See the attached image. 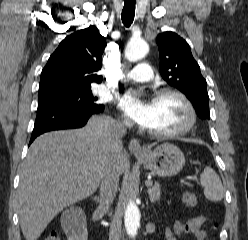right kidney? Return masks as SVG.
<instances>
[{"instance_id": "ca27d5eb", "label": "right kidney", "mask_w": 248, "mask_h": 240, "mask_svg": "<svg viewBox=\"0 0 248 240\" xmlns=\"http://www.w3.org/2000/svg\"><path fill=\"white\" fill-rule=\"evenodd\" d=\"M65 234L68 240H87V229L85 226H80L74 229L65 228Z\"/></svg>"}]
</instances>
